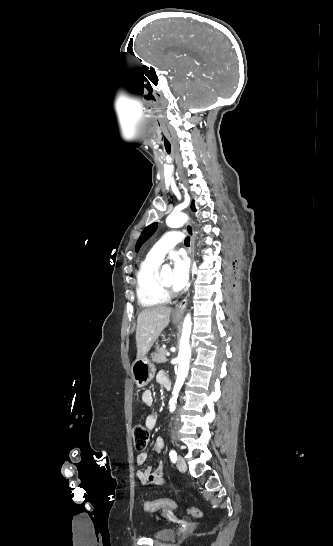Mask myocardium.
Listing matches in <instances>:
<instances>
[{
  "mask_svg": "<svg viewBox=\"0 0 333 546\" xmlns=\"http://www.w3.org/2000/svg\"><path fill=\"white\" fill-rule=\"evenodd\" d=\"M157 283L161 293L167 298H172L176 295V292L171 287L162 282L160 274L157 275Z\"/></svg>",
  "mask_w": 333,
  "mask_h": 546,
  "instance_id": "obj_1",
  "label": "myocardium"
}]
</instances>
